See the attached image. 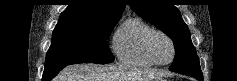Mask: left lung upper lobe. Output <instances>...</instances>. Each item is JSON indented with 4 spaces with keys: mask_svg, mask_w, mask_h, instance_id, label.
Returning <instances> with one entry per match:
<instances>
[{
    "mask_svg": "<svg viewBox=\"0 0 237 81\" xmlns=\"http://www.w3.org/2000/svg\"><path fill=\"white\" fill-rule=\"evenodd\" d=\"M131 8L144 20L169 36L176 50L170 70L184 75H202L190 32L179 10L169 0H128Z\"/></svg>",
    "mask_w": 237,
    "mask_h": 81,
    "instance_id": "5c2ea615",
    "label": "left lung upper lobe"
}]
</instances>
